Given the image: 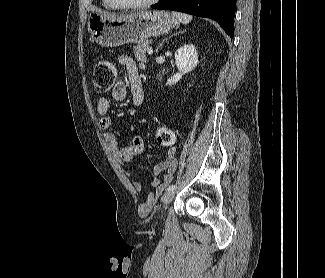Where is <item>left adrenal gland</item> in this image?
Wrapping results in <instances>:
<instances>
[{
    "label": "left adrenal gland",
    "instance_id": "left-adrenal-gland-1",
    "mask_svg": "<svg viewBox=\"0 0 325 278\" xmlns=\"http://www.w3.org/2000/svg\"><path fill=\"white\" fill-rule=\"evenodd\" d=\"M184 32H186V30L176 32L175 34H173V35L169 36L168 38H166L165 40H163V41L160 43L159 47L156 49V52L158 53V50L162 47L164 41H167V40L170 39L171 37L176 36V35H178V34H180V33H184Z\"/></svg>",
    "mask_w": 325,
    "mask_h": 278
}]
</instances>
